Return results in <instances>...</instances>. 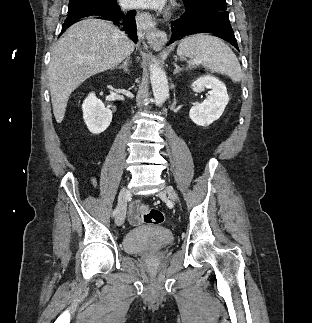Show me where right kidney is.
Segmentation results:
<instances>
[{"label": "right kidney", "mask_w": 312, "mask_h": 323, "mask_svg": "<svg viewBox=\"0 0 312 323\" xmlns=\"http://www.w3.org/2000/svg\"><path fill=\"white\" fill-rule=\"evenodd\" d=\"M84 122L91 134H101L111 124L112 112L95 94H89L82 104Z\"/></svg>", "instance_id": "ca27d5eb"}]
</instances>
